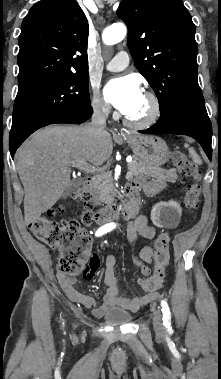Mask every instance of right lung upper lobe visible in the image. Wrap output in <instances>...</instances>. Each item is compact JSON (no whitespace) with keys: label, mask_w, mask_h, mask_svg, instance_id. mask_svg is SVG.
<instances>
[{"label":"right lung upper lobe","mask_w":221,"mask_h":379,"mask_svg":"<svg viewBox=\"0 0 221 379\" xmlns=\"http://www.w3.org/2000/svg\"><path fill=\"white\" fill-rule=\"evenodd\" d=\"M89 26L76 0H41L21 25L18 83L88 73Z\"/></svg>","instance_id":"right-lung-upper-lobe-1"}]
</instances>
